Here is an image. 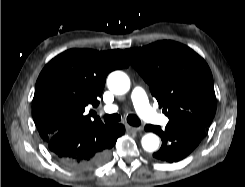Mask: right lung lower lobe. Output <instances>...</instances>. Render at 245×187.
Masks as SVG:
<instances>
[{
  "instance_id": "obj_1",
  "label": "right lung lower lobe",
  "mask_w": 245,
  "mask_h": 187,
  "mask_svg": "<svg viewBox=\"0 0 245 187\" xmlns=\"http://www.w3.org/2000/svg\"><path fill=\"white\" fill-rule=\"evenodd\" d=\"M124 132L125 127L121 124L91 123L56 133L46 143L53 156L65 167L90 171L108 161L111 148Z\"/></svg>"
}]
</instances>
